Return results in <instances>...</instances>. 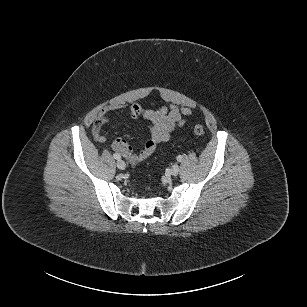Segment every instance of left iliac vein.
Returning <instances> with one entry per match:
<instances>
[{
  "label": "left iliac vein",
  "mask_w": 307,
  "mask_h": 307,
  "mask_svg": "<svg viewBox=\"0 0 307 307\" xmlns=\"http://www.w3.org/2000/svg\"><path fill=\"white\" fill-rule=\"evenodd\" d=\"M179 166H178V164H174L172 167H171V169H170V174L172 175V176H176L178 173H179Z\"/></svg>",
  "instance_id": "1"
}]
</instances>
